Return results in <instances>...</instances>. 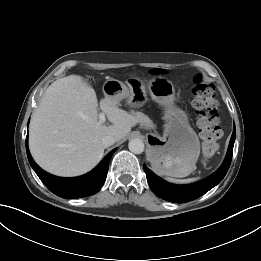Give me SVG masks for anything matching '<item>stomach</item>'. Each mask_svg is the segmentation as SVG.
<instances>
[{
	"mask_svg": "<svg viewBox=\"0 0 261 261\" xmlns=\"http://www.w3.org/2000/svg\"><path fill=\"white\" fill-rule=\"evenodd\" d=\"M129 88L121 81L109 79L104 83L105 98L118 104L126 99L132 108L143 106L147 101L146 92H141V80L131 81ZM151 98L164 109V133L160 137L149 134L148 158L152 168L163 175L186 177L196 168L200 154V142L189 124L187 114L174 104L175 88L170 80L156 77L147 82Z\"/></svg>",
	"mask_w": 261,
	"mask_h": 261,
	"instance_id": "stomach-1",
	"label": "stomach"
}]
</instances>
